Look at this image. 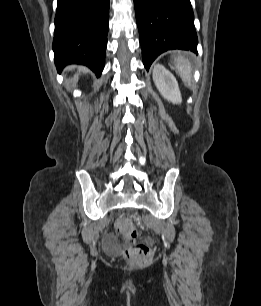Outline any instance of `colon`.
I'll use <instances>...</instances> for the list:
<instances>
[{
  "label": "colon",
  "mask_w": 261,
  "mask_h": 306,
  "mask_svg": "<svg viewBox=\"0 0 261 306\" xmlns=\"http://www.w3.org/2000/svg\"><path fill=\"white\" fill-rule=\"evenodd\" d=\"M117 228L119 233L128 240L133 239L136 235L135 226L128 218L120 219L117 223ZM123 257L130 266L140 267L149 263L152 251L144 245H131L125 249Z\"/></svg>",
  "instance_id": "1"
}]
</instances>
